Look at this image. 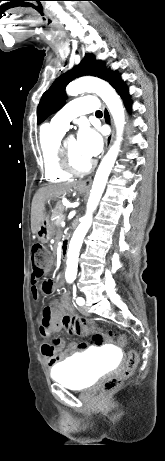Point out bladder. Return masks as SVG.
<instances>
[{
    "instance_id": "31cf9c89",
    "label": "bladder",
    "mask_w": 165,
    "mask_h": 461,
    "mask_svg": "<svg viewBox=\"0 0 165 461\" xmlns=\"http://www.w3.org/2000/svg\"><path fill=\"white\" fill-rule=\"evenodd\" d=\"M107 365L96 353H81L68 361L55 365L51 377L73 390L91 387L105 372Z\"/></svg>"
}]
</instances>
